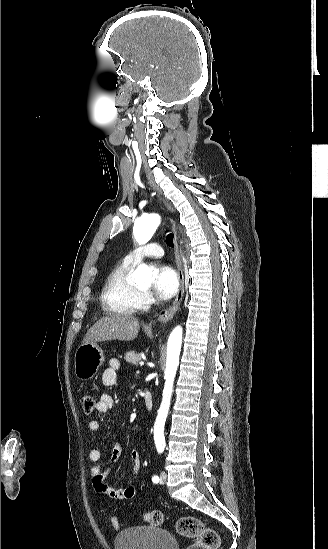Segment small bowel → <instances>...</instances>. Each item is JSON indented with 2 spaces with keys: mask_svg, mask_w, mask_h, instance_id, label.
I'll return each instance as SVG.
<instances>
[{
  "mask_svg": "<svg viewBox=\"0 0 328 549\" xmlns=\"http://www.w3.org/2000/svg\"><path fill=\"white\" fill-rule=\"evenodd\" d=\"M119 364L118 361L113 359L110 362V367L107 368L102 374V383L106 387H112L116 384L117 374L116 370ZM114 406V399L109 394H103L100 397V400L97 403L96 409L99 413L105 414L108 413ZM100 422L98 420H90L88 423V428L92 432H97L100 430ZM122 454V447L119 443H115L111 455L110 463H116ZM131 459L133 461V476L136 477L141 469V453L138 449L134 448L130 453ZM89 461L91 463L89 468V473L92 479V484L96 493L103 498H109L112 500H130L136 494V488L133 485H128L124 488H113L107 485L104 482L107 470H104L100 464L99 460L101 458V451L99 449H91L88 454Z\"/></svg>",
  "mask_w": 328,
  "mask_h": 549,
  "instance_id": "small-bowel-1",
  "label": "small bowel"
}]
</instances>
